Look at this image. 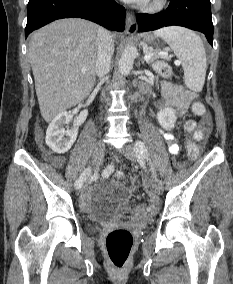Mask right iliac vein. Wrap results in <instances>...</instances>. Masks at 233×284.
Returning <instances> with one entry per match:
<instances>
[{"instance_id":"63e3f726","label":"right iliac vein","mask_w":233,"mask_h":284,"mask_svg":"<svg viewBox=\"0 0 233 284\" xmlns=\"http://www.w3.org/2000/svg\"><path fill=\"white\" fill-rule=\"evenodd\" d=\"M104 151H105V145L102 141H97L95 147H94V151H93V155H92V166L94 169H97L98 166L100 165V162L102 160V157L104 155ZM82 192H84V187H77V189H75V194H82Z\"/></svg>"}]
</instances>
